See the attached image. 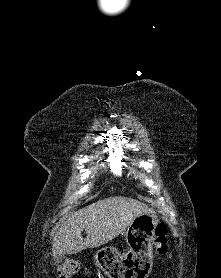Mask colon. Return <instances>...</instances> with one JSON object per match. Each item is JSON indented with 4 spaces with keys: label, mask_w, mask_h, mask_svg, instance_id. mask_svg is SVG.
<instances>
[{
    "label": "colon",
    "mask_w": 221,
    "mask_h": 278,
    "mask_svg": "<svg viewBox=\"0 0 221 278\" xmlns=\"http://www.w3.org/2000/svg\"><path fill=\"white\" fill-rule=\"evenodd\" d=\"M169 234L165 224H159L155 230L154 247L160 257H164L168 252ZM80 271V265L73 259L62 262L57 269L58 278H72ZM79 278H86L81 276Z\"/></svg>",
    "instance_id": "1"
}]
</instances>
